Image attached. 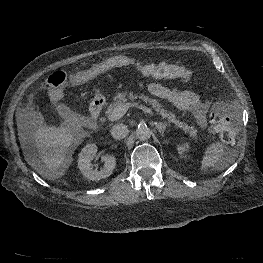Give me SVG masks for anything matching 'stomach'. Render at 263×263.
Instances as JSON below:
<instances>
[{"label": "stomach", "mask_w": 263, "mask_h": 263, "mask_svg": "<svg viewBox=\"0 0 263 263\" xmlns=\"http://www.w3.org/2000/svg\"><path fill=\"white\" fill-rule=\"evenodd\" d=\"M95 98H96V99H104L103 95L100 94L99 92H97V93L95 94Z\"/></svg>", "instance_id": "stomach-1"}]
</instances>
